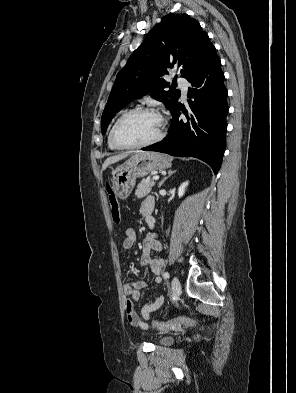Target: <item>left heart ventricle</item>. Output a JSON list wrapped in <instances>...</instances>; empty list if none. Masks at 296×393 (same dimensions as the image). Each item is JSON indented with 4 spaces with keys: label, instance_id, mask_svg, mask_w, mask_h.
Listing matches in <instances>:
<instances>
[{
    "label": "left heart ventricle",
    "instance_id": "1",
    "mask_svg": "<svg viewBox=\"0 0 296 393\" xmlns=\"http://www.w3.org/2000/svg\"><path fill=\"white\" fill-rule=\"evenodd\" d=\"M161 127V119L153 113H139L126 119L118 130L124 144H139L154 138Z\"/></svg>",
    "mask_w": 296,
    "mask_h": 393
}]
</instances>
